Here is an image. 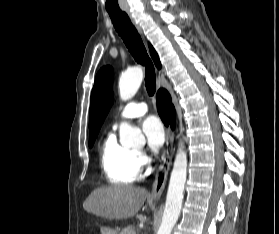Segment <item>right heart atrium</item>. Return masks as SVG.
Segmentation results:
<instances>
[{
    "label": "right heart atrium",
    "mask_w": 279,
    "mask_h": 234,
    "mask_svg": "<svg viewBox=\"0 0 279 234\" xmlns=\"http://www.w3.org/2000/svg\"><path fill=\"white\" fill-rule=\"evenodd\" d=\"M137 160L140 167H144L149 163V157L145 151H137Z\"/></svg>",
    "instance_id": "right-heart-atrium-1"
}]
</instances>
